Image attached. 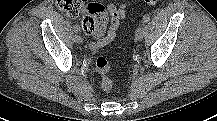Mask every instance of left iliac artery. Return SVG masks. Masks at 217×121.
Returning <instances> with one entry per match:
<instances>
[{
	"label": "left iliac artery",
	"instance_id": "obj_1",
	"mask_svg": "<svg viewBox=\"0 0 217 121\" xmlns=\"http://www.w3.org/2000/svg\"><path fill=\"white\" fill-rule=\"evenodd\" d=\"M150 21V16L148 14L144 15L142 18V25Z\"/></svg>",
	"mask_w": 217,
	"mask_h": 121
}]
</instances>
